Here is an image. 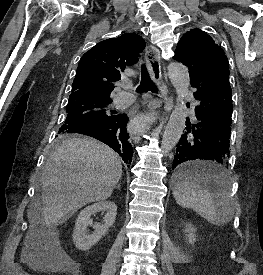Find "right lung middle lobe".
Returning a JSON list of instances; mask_svg holds the SVG:
<instances>
[{
  "mask_svg": "<svg viewBox=\"0 0 263 275\" xmlns=\"http://www.w3.org/2000/svg\"><path fill=\"white\" fill-rule=\"evenodd\" d=\"M111 101L110 98H104L93 94L70 96L66 107L67 117L58 131L56 142L68 140L67 136L69 133H67V131L74 126L102 122L115 116L112 115L114 111L108 109V105Z\"/></svg>",
  "mask_w": 263,
  "mask_h": 275,
  "instance_id": "obj_1",
  "label": "right lung middle lobe"
}]
</instances>
